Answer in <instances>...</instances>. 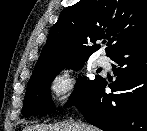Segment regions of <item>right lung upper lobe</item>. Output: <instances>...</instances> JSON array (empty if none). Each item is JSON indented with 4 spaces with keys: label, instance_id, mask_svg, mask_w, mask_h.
Returning <instances> with one entry per match:
<instances>
[{
    "label": "right lung upper lobe",
    "instance_id": "1",
    "mask_svg": "<svg viewBox=\"0 0 147 131\" xmlns=\"http://www.w3.org/2000/svg\"><path fill=\"white\" fill-rule=\"evenodd\" d=\"M146 35L147 0H79L60 13L32 76L86 60L99 49L98 40L110 38V57Z\"/></svg>",
    "mask_w": 147,
    "mask_h": 131
}]
</instances>
